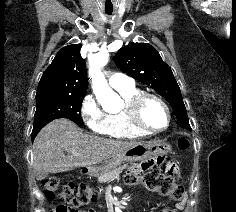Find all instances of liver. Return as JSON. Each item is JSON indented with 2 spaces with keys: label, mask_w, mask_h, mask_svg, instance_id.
<instances>
[{
  "label": "liver",
  "mask_w": 236,
  "mask_h": 212,
  "mask_svg": "<svg viewBox=\"0 0 236 212\" xmlns=\"http://www.w3.org/2000/svg\"><path fill=\"white\" fill-rule=\"evenodd\" d=\"M138 143L83 133L72 121L56 119L46 125L35 138L33 167L36 173H59L77 167H90L124 153ZM64 151L69 155L65 156ZM70 151H75V154Z\"/></svg>",
  "instance_id": "1"
}]
</instances>
